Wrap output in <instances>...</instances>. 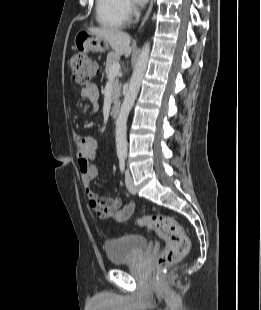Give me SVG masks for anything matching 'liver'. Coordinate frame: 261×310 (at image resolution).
I'll return each instance as SVG.
<instances>
[{"label": "liver", "instance_id": "1", "mask_svg": "<svg viewBox=\"0 0 261 310\" xmlns=\"http://www.w3.org/2000/svg\"><path fill=\"white\" fill-rule=\"evenodd\" d=\"M88 32L107 41L116 54L124 55L126 58L130 56L132 52L131 39L127 33L115 28H90Z\"/></svg>", "mask_w": 261, "mask_h": 310}]
</instances>
